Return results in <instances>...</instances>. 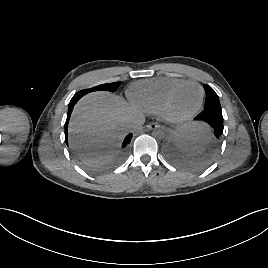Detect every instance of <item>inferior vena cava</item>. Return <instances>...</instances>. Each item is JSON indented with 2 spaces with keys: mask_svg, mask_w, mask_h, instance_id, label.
<instances>
[{
  "mask_svg": "<svg viewBox=\"0 0 268 268\" xmlns=\"http://www.w3.org/2000/svg\"><path fill=\"white\" fill-rule=\"evenodd\" d=\"M142 119H139V120H137V121H134L132 124H130L128 127H129V129L130 130H133L135 127H136V123L138 124V123H142Z\"/></svg>",
  "mask_w": 268,
  "mask_h": 268,
  "instance_id": "obj_1",
  "label": "inferior vena cava"
}]
</instances>
